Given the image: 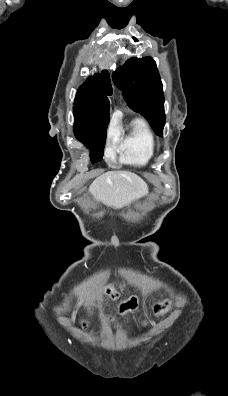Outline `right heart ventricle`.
Returning a JSON list of instances; mask_svg holds the SVG:
<instances>
[{
	"label": "right heart ventricle",
	"mask_w": 228,
	"mask_h": 396,
	"mask_svg": "<svg viewBox=\"0 0 228 396\" xmlns=\"http://www.w3.org/2000/svg\"><path fill=\"white\" fill-rule=\"evenodd\" d=\"M116 147L122 162L146 165L154 155L155 139L146 123L141 119H135L127 132L119 129Z\"/></svg>",
	"instance_id": "1"
}]
</instances>
